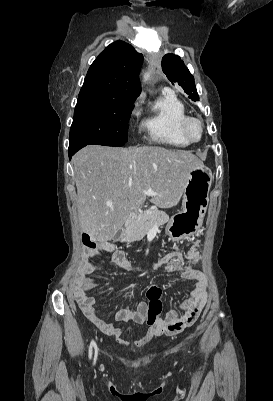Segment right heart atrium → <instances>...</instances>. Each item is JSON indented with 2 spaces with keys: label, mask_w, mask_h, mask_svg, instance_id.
<instances>
[{
  "label": "right heart atrium",
  "mask_w": 273,
  "mask_h": 401,
  "mask_svg": "<svg viewBox=\"0 0 273 401\" xmlns=\"http://www.w3.org/2000/svg\"><path fill=\"white\" fill-rule=\"evenodd\" d=\"M139 114H140V111H139L138 105L135 104V106H134V108L132 109V112H131V117L133 118V117H135V116H137Z\"/></svg>",
  "instance_id": "right-heart-atrium-1"
}]
</instances>
